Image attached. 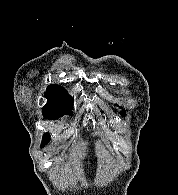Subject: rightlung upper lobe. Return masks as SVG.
<instances>
[{
	"label": "right lung upper lobe",
	"instance_id": "1",
	"mask_svg": "<svg viewBox=\"0 0 178 195\" xmlns=\"http://www.w3.org/2000/svg\"><path fill=\"white\" fill-rule=\"evenodd\" d=\"M47 98L45 106L73 108L72 97L59 85H50L44 94Z\"/></svg>",
	"mask_w": 178,
	"mask_h": 195
}]
</instances>
